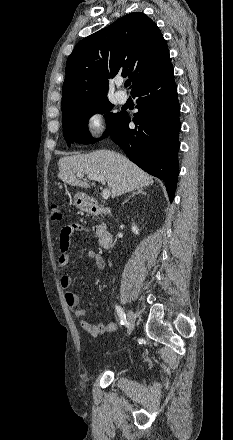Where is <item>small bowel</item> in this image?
<instances>
[{
    "label": "small bowel",
    "instance_id": "c3829d8e",
    "mask_svg": "<svg viewBox=\"0 0 233 440\" xmlns=\"http://www.w3.org/2000/svg\"><path fill=\"white\" fill-rule=\"evenodd\" d=\"M84 227L79 223H72L64 226L59 234V249L60 255L58 257V264L60 267H67L70 263V249L72 236L80 231H83ZM87 259L95 264L99 270L105 268L104 258L95 250H89L87 252ZM72 278L69 274H63L60 277V286L64 289H68L71 286ZM66 304L72 309L73 315L80 322L81 328L93 337L103 335L106 333L114 332L117 329L115 322L108 324H92L84 319L86 310L79 307L80 297L77 293L67 290L65 292Z\"/></svg>",
    "mask_w": 233,
    "mask_h": 440
}]
</instances>
